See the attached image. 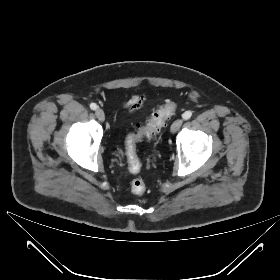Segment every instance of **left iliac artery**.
I'll return each instance as SVG.
<instances>
[{
    "instance_id": "left-iliac-artery-1",
    "label": "left iliac artery",
    "mask_w": 280,
    "mask_h": 280,
    "mask_svg": "<svg viewBox=\"0 0 280 280\" xmlns=\"http://www.w3.org/2000/svg\"><path fill=\"white\" fill-rule=\"evenodd\" d=\"M191 116H192V112L191 111H186L185 113H183L182 118L184 120H188V119L191 118Z\"/></svg>"
}]
</instances>
